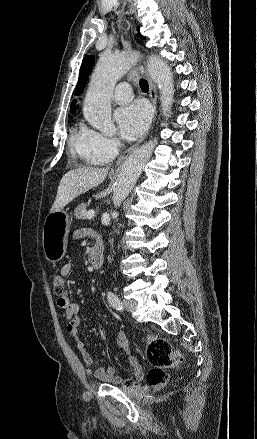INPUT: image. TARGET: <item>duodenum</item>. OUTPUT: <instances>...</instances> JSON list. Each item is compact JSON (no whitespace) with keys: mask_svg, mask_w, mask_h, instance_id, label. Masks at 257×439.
Returning <instances> with one entry per match:
<instances>
[{"mask_svg":"<svg viewBox=\"0 0 257 439\" xmlns=\"http://www.w3.org/2000/svg\"><path fill=\"white\" fill-rule=\"evenodd\" d=\"M90 262L94 269H99L104 263V245L101 241H97L93 246Z\"/></svg>","mask_w":257,"mask_h":439,"instance_id":"1","label":"duodenum"}]
</instances>
